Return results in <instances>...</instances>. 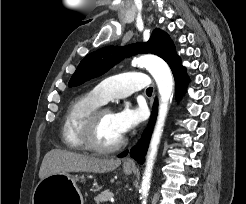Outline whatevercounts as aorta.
<instances>
[{"label": "aorta", "mask_w": 246, "mask_h": 204, "mask_svg": "<svg viewBox=\"0 0 246 204\" xmlns=\"http://www.w3.org/2000/svg\"><path fill=\"white\" fill-rule=\"evenodd\" d=\"M132 65L145 67L154 78L160 95L157 122L152 134L149 152L146 159V168L141 183L142 204L147 203L148 192L151 185V176L158 145L163 133L165 120L168 114L169 101L173 98L174 79L168 64L158 56L142 55L134 58Z\"/></svg>", "instance_id": "obj_1"}]
</instances>
